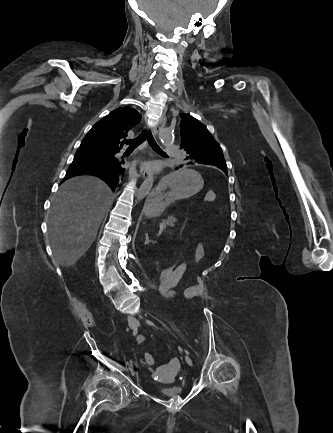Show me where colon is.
I'll return each mask as SVG.
<instances>
[{
    "label": "colon",
    "mask_w": 333,
    "mask_h": 433,
    "mask_svg": "<svg viewBox=\"0 0 333 433\" xmlns=\"http://www.w3.org/2000/svg\"><path fill=\"white\" fill-rule=\"evenodd\" d=\"M216 199V195L214 192L209 191L207 192L206 196H205V200L206 201H215ZM186 254H183V257L180 256L178 257V261H173L172 264H167L166 265V269H164L161 274L159 275V280L161 281V285H166V278L170 279L173 275L174 272L173 270H175L176 266L178 265H182V262L186 261ZM188 257H191V254H188ZM76 306L78 308V314L80 316V319L82 321L83 324L85 325H93L94 320L93 317L91 315V313L88 311L87 307L85 306V304H83L81 301H76ZM145 362L148 365H154L155 364V358L153 357V355H151L150 353L145 354Z\"/></svg>",
    "instance_id": "1"
}]
</instances>
